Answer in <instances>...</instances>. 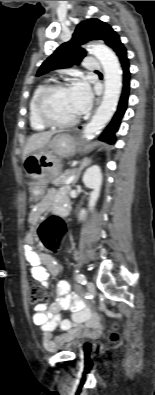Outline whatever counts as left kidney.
I'll use <instances>...</instances> for the list:
<instances>
[{
	"instance_id": "5707ae66",
	"label": "left kidney",
	"mask_w": 155,
	"mask_h": 395,
	"mask_svg": "<svg viewBox=\"0 0 155 395\" xmlns=\"http://www.w3.org/2000/svg\"><path fill=\"white\" fill-rule=\"evenodd\" d=\"M82 180L86 187L92 189L89 199V208L92 210L99 198L102 185V173L100 167L98 165L89 167L85 171ZM85 214L86 211L81 209L79 213V220H83Z\"/></svg>"
}]
</instances>
